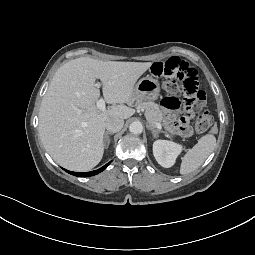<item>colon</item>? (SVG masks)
<instances>
[{
  "label": "colon",
  "instance_id": "colon-1",
  "mask_svg": "<svg viewBox=\"0 0 255 255\" xmlns=\"http://www.w3.org/2000/svg\"><path fill=\"white\" fill-rule=\"evenodd\" d=\"M155 77H162L164 89L170 95L182 94L184 97L183 116L190 117L202 110L206 104V93L199 88L197 72L187 62L178 57L156 62L151 67ZM214 119L208 111L202 112L195 123L197 132L213 129Z\"/></svg>",
  "mask_w": 255,
  "mask_h": 255
}]
</instances>
